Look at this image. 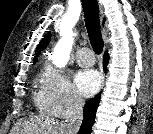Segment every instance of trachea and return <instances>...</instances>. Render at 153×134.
<instances>
[{"label":"trachea","mask_w":153,"mask_h":134,"mask_svg":"<svg viewBox=\"0 0 153 134\" xmlns=\"http://www.w3.org/2000/svg\"><path fill=\"white\" fill-rule=\"evenodd\" d=\"M85 26L91 46L96 54L103 50V40L100 30L99 7L97 0H82Z\"/></svg>","instance_id":"3493384b"}]
</instances>
